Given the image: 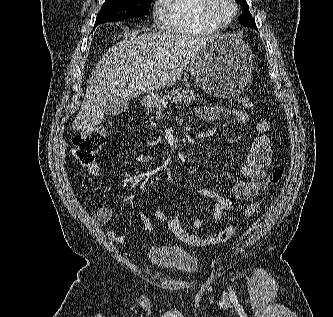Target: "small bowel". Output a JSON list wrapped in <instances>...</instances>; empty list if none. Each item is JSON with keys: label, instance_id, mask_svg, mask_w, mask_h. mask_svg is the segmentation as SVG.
<instances>
[{"label": "small bowel", "instance_id": "small-bowel-1", "mask_svg": "<svg viewBox=\"0 0 333 317\" xmlns=\"http://www.w3.org/2000/svg\"><path fill=\"white\" fill-rule=\"evenodd\" d=\"M196 115L204 121H219L227 117H233L241 124H248L250 122L249 116L244 111L239 109L229 110L220 106L199 107L196 110ZM255 129L256 137L252 142L245 162L239 168L240 178L232 186L233 196L239 200H251L255 198L270 182L267 172L273 156L268 136L270 125L267 120L263 119L256 124ZM135 161L146 164L152 161V156L149 154H139L135 157ZM91 173L94 176L97 175L96 166L92 168ZM197 193L213 201L212 221L214 223L220 222L224 213L232 211L235 207L234 201L230 197L214 190L199 188L197 189ZM112 216L113 211L111 208L101 207L94 211L92 217L98 226H105L110 222ZM152 216L164 222L167 219V214L157 209L152 212ZM141 219L146 231L154 230L155 226L151 215L144 207L141 209ZM203 224L204 221L200 217L192 221L194 229L201 228ZM106 236L116 243H124L128 240L126 234L118 233L115 229H108Z\"/></svg>", "mask_w": 333, "mask_h": 317}]
</instances>
